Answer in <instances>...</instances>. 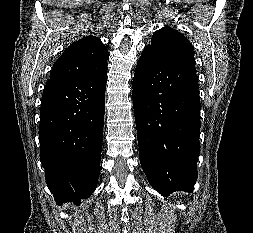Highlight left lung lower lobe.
Here are the masks:
<instances>
[{
  "instance_id": "left-lung-lower-lobe-1",
  "label": "left lung lower lobe",
  "mask_w": 253,
  "mask_h": 233,
  "mask_svg": "<svg viewBox=\"0 0 253 233\" xmlns=\"http://www.w3.org/2000/svg\"><path fill=\"white\" fill-rule=\"evenodd\" d=\"M140 162L161 195L192 192L200 152V100L194 63L146 46L133 79Z\"/></svg>"
}]
</instances>
